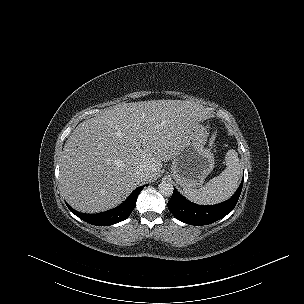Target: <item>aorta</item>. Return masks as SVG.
Instances as JSON below:
<instances>
[{"label":"aorta","mask_w":304,"mask_h":304,"mask_svg":"<svg viewBox=\"0 0 304 304\" xmlns=\"http://www.w3.org/2000/svg\"><path fill=\"white\" fill-rule=\"evenodd\" d=\"M159 192L166 197H170L173 194L174 188L171 182L169 181H162L159 186Z\"/></svg>","instance_id":"aorta-1"}]
</instances>
